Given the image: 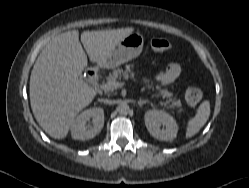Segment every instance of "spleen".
<instances>
[{
	"instance_id": "3e777b00",
	"label": "spleen",
	"mask_w": 249,
	"mask_h": 188,
	"mask_svg": "<svg viewBox=\"0 0 249 188\" xmlns=\"http://www.w3.org/2000/svg\"><path fill=\"white\" fill-rule=\"evenodd\" d=\"M210 115V103L209 101H204L198 107L197 113L194 118L190 119L188 122L186 130V138H191L204 126Z\"/></svg>"
}]
</instances>
